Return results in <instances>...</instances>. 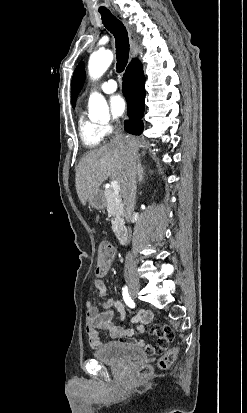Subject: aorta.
Here are the masks:
<instances>
[{
  "label": "aorta",
  "mask_w": 247,
  "mask_h": 413,
  "mask_svg": "<svg viewBox=\"0 0 247 413\" xmlns=\"http://www.w3.org/2000/svg\"><path fill=\"white\" fill-rule=\"evenodd\" d=\"M113 60V53L110 50L97 51L91 54L88 62L89 75L93 79L101 77L108 69ZM89 116L92 119L108 117L109 109L105 98L94 92L89 97Z\"/></svg>",
  "instance_id": "762f6f07"
}]
</instances>
